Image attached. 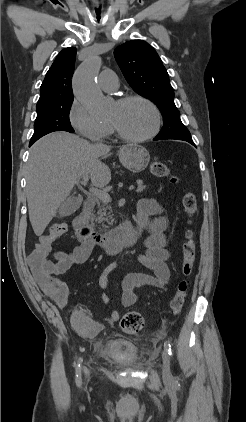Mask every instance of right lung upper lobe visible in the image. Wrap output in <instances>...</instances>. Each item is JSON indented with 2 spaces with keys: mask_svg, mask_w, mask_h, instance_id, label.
<instances>
[{
  "mask_svg": "<svg viewBox=\"0 0 246 422\" xmlns=\"http://www.w3.org/2000/svg\"><path fill=\"white\" fill-rule=\"evenodd\" d=\"M75 56L74 47L66 48L57 55L40 87L37 108L61 99L73 98L71 78L74 72Z\"/></svg>",
  "mask_w": 246,
  "mask_h": 422,
  "instance_id": "cb5924a9",
  "label": "right lung upper lobe"
}]
</instances>
